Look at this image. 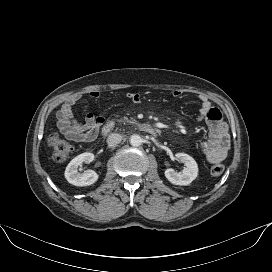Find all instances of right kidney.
Segmentation results:
<instances>
[{
	"mask_svg": "<svg viewBox=\"0 0 272 272\" xmlns=\"http://www.w3.org/2000/svg\"><path fill=\"white\" fill-rule=\"evenodd\" d=\"M94 160L93 153H82L70 161L65 170V178L75 186H90L98 180V174L93 170H86L84 173L78 172V167L82 163H90Z\"/></svg>",
	"mask_w": 272,
	"mask_h": 272,
	"instance_id": "obj_1",
	"label": "right kidney"
}]
</instances>
